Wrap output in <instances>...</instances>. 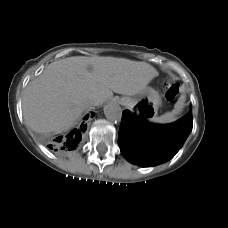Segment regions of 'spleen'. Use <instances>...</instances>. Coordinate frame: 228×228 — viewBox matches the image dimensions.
Listing matches in <instances>:
<instances>
[{"instance_id":"spleen-1","label":"spleen","mask_w":228,"mask_h":228,"mask_svg":"<svg viewBox=\"0 0 228 228\" xmlns=\"http://www.w3.org/2000/svg\"><path fill=\"white\" fill-rule=\"evenodd\" d=\"M185 101L184 96H180L177 103L174 105V109L171 112H167L160 117H155L153 119L156 123H170L173 122L176 119V115L179 114L183 108V104Z\"/></svg>"}]
</instances>
